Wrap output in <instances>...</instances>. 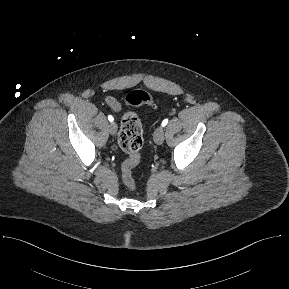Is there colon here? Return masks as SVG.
<instances>
[{
	"instance_id": "colon-1",
	"label": "colon",
	"mask_w": 289,
	"mask_h": 289,
	"mask_svg": "<svg viewBox=\"0 0 289 289\" xmlns=\"http://www.w3.org/2000/svg\"><path fill=\"white\" fill-rule=\"evenodd\" d=\"M127 100L129 109L124 119L120 143L122 148L128 153V158L123 162L122 173L129 189L139 194L141 193V185L132 174V169L140 160V150L143 145V138L139 128L138 106L142 104L154 105L155 102L147 92L142 90L131 92Z\"/></svg>"
}]
</instances>
